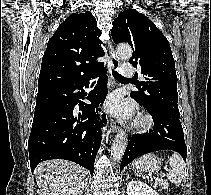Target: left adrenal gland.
I'll use <instances>...</instances> for the list:
<instances>
[{
  "instance_id": "left-adrenal-gland-1",
  "label": "left adrenal gland",
  "mask_w": 211,
  "mask_h": 195,
  "mask_svg": "<svg viewBox=\"0 0 211 195\" xmlns=\"http://www.w3.org/2000/svg\"><path fill=\"white\" fill-rule=\"evenodd\" d=\"M129 177H130L129 174H127V180L129 179Z\"/></svg>"
}]
</instances>
